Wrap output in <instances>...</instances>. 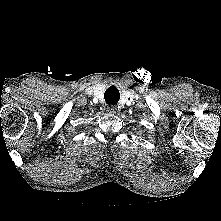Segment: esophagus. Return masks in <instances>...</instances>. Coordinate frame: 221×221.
<instances>
[{"label":"esophagus","mask_w":221,"mask_h":221,"mask_svg":"<svg viewBox=\"0 0 221 221\" xmlns=\"http://www.w3.org/2000/svg\"><path fill=\"white\" fill-rule=\"evenodd\" d=\"M108 111H109V113L114 114V113H116L117 108L115 106H110V107H108Z\"/></svg>","instance_id":"1"}]
</instances>
